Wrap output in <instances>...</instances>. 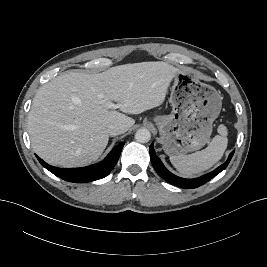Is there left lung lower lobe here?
<instances>
[{
	"label": "left lung lower lobe",
	"mask_w": 267,
	"mask_h": 267,
	"mask_svg": "<svg viewBox=\"0 0 267 267\" xmlns=\"http://www.w3.org/2000/svg\"><path fill=\"white\" fill-rule=\"evenodd\" d=\"M149 150H150L151 163L155 171L157 172V174L161 178H163L165 181H167L168 183L174 186H177V187L185 188V189H192V188L199 187L205 184L206 182H208L209 180H211L213 177H215L217 174H219L222 170H224L227 167V165L229 164L234 154V151H232L227 161L223 163L222 165H220L218 168H216L214 171L208 174H205L199 178L185 179V178H180L172 174L165 168L161 160L156 156L154 148H153V144L150 145Z\"/></svg>",
	"instance_id": "0a47b994"
}]
</instances>
